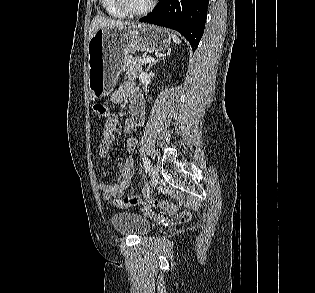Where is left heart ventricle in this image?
<instances>
[{
  "instance_id": "1",
  "label": "left heart ventricle",
  "mask_w": 315,
  "mask_h": 293,
  "mask_svg": "<svg viewBox=\"0 0 315 293\" xmlns=\"http://www.w3.org/2000/svg\"><path fill=\"white\" fill-rule=\"evenodd\" d=\"M151 0H129L130 5L135 9H142L146 7Z\"/></svg>"
}]
</instances>
